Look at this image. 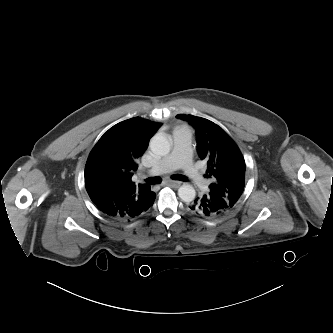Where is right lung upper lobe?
<instances>
[{"mask_svg": "<svg viewBox=\"0 0 333 333\" xmlns=\"http://www.w3.org/2000/svg\"><path fill=\"white\" fill-rule=\"evenodd\" d=\"M161 123L134 117L110 128L94 146L85 166V187L93 203L118 200L127 206L145 205L150 186L132 181L152 135Z\"/></svg>", "mask_w": 333, "mask_h": 333, "instance_id": "right-lung-upper-lobe-1", "label": "right lung upper lobe"}]
</instances>
